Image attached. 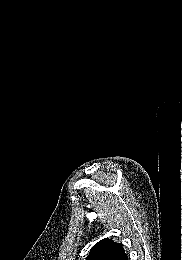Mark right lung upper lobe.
<instances>
[{"label":"right lung upper lobe","instance_id":"right-lung-upper-lobe-1","mask_svg":"<svg viewBox=\"0 0 182 260\" xmlns=\"http://www.w3.org/2000/svg\"><path fill=\"white\" fill-rule=\"evenodd\" d=\"M86 260H128V257L120 243L103 239L93 246Z\"/></svg>","mask_w":182,"mask_h":260}]
</instances>
